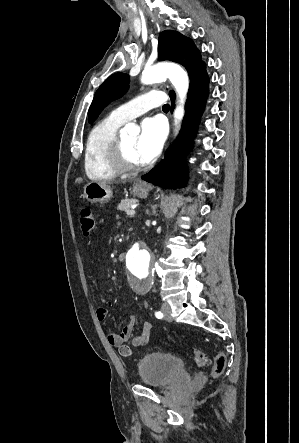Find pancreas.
<instances>
[{
	"instance_id": "obj_1",
	"label": "pancreas",
	"mask_w": 299,
	"mask_h": 443,
	"mask_svg": "<svg viewBox=\"0 0 299 443\" xmlns=\"http://www.w3.org/2000/svg\"><path fill=\"white\" fill-rule=\"evenodd\" d=\"M137 202L136 199H124L118 204L117 209L120 211H128L129 208Z\"/></svg>"
}]
</instances>
